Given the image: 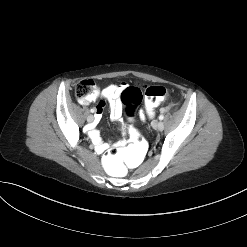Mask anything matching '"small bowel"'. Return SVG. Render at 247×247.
I'll return each mask as SVG.
<instances>
[{"instance_id":"1","label":"small bowel","mask_w":247,"mask_h":247,"mask_svg":"<svg viewBox=\"0 0 247 247\" xmlns=\"http://www.w3.org/2000/svg\"><path fill=\"white\" fill-rule=\"evenodd\" d=\"M126 84H111L106 86L103 89H99L95 84H92V92L91 94L83 99L80 102L84 105H88L92 102H95L99 97L105 100L109 106L110 114L113 119H118L122 114V105L120 101V97L122 92L126 89ZM104 107V103L100 104L97 109L96 114V122H98L102 117V110ZM141 120H145L146 115L144 111H140ZM90 135L94 141L96 151L98 153H103L109 148V144L103 143L101 141L100 134L96 128H92L90 131ZM124 142H120L119 144H123Z\"/></svg>"}]
</instances>
